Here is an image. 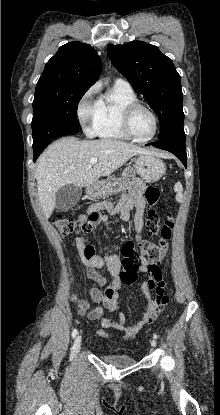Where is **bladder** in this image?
<instances>
[{"mask_svg": "<svg viewBox=\"0 0 220 415\" xmlns=\"http://www.w3.org/2000/svg\"><path fill=\"white\" fill-rule=\"evenodd\" d=\"M100 358L119 368H127V367H131L135 364V359L127 354H116V353H106V354H101Z\"/></svg>", "mask_w": 220, "mask_h": 415, "instance_id": "bladder-1", "label": "bladder"}]
</instances>
